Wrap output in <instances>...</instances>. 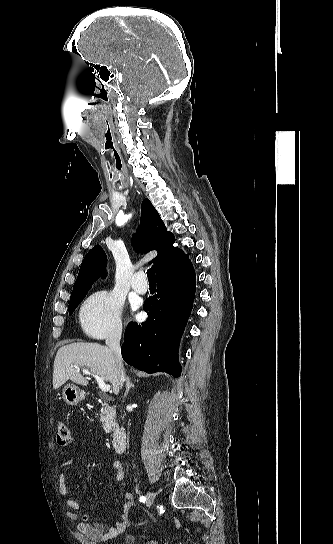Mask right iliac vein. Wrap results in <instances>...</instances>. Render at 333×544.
I'll list each match as a JSON object with an SVG mask.
<instances>
[{"label": "right iliac vein", "instance_id": "obj_1", "mask_svg": "<svg viewBox=\"0 0 333 544\" xmlns=\"http://www.w3.org/2000/svg\"><path fill=\"white\" fill-rule=\"evenodd\" d=\"M154 502V494L151 491L147 492L146 506L151 507Z\"/></svg>", "mask_w": 333, "mask_h": 544}]
</instances>
